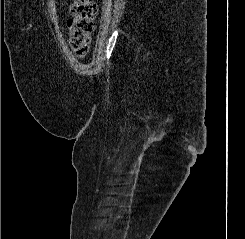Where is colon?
<instances>
[{
	"label": "colon",
	"instance_id": "colon-1",
	"mask_svg": "<svg viewBox=\"0 0 245 239\" xmlns=\"http://www.w3.org/2000/svg\"><path fill=\"white\" fill-rule=\"evenodd\" d=\"M68 20V41L78 56L89 52L98 7L94 0H72Z\"/></svg>",
	"mask_w": 245,
	"mask_h": 239
}]
</instances>
